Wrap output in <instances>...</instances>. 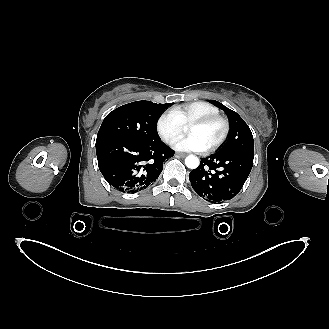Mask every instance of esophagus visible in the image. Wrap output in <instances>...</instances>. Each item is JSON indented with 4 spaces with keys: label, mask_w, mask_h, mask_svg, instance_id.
<instances>
[{
    "label": "esophagus",
    "mask_w": 329,
    "mask_h": 329,
    "mask_svg": "<svg viewBox=\"0 0 329 329\" xmlns=\"http://www.w3.org/2000/svg\"><path fill=\"white\" fill-rule=\"evenodd\" d=\"M175 156L176 157H185L186 154H184V153H176Z\"/></svg>",
    "instance_id": "obj_1"
}]
</instances>
